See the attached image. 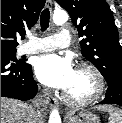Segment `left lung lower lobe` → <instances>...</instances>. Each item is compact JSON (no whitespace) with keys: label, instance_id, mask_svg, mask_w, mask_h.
<instances>
[{"label":"left lung lower lobe","instance_id":"0a47b994","mask_svg":"<svg viewBox=\"0 0 122 123\" xmlns=\"http://www.w3.org/2000/svg\"><path fill=\"white\" fill-rule=\"evenodd\" d=\"M100 104H117L122 106V78L108 82L106 96Z\"/></svg>","mask_w":122,"mask_h":123}]
</instances>
